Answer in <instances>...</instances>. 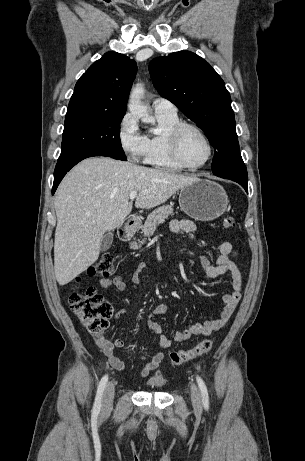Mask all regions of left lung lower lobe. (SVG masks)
<instances>
[{
	"label": "left lung lower lobe",
	"instance_id": "0a47b994",
	"mask_svg": "<svg viewBox=\"0 0 305 461\" xmlns=\"http://www.w3.org/2000/svg\"><path fill=\"white\" fill-rule=\"evenodd\" d=\"M238 182L248 192L247 179L235 178V177H222Z\"/></svg>",
	"mask_w": 305,
	"mask_h": 461
}]
</instances>
